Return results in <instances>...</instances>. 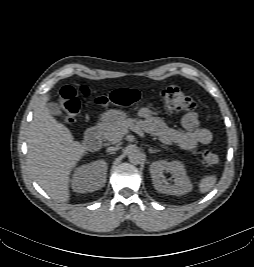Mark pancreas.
I'll use <instances>...</instances> for the list:
<instances>
[{
    "instance_id": "cf45deb5",
    "label": "pancreas",
    "mask_w": 254,
    "mask_h": 267,
    "mask_svg": "<svg viewBox=\"0 0 254 267\" xmlns=\"http://www.w3.org/2000/svg\"><path fill=\"white\" fill-rule=\"evenodd\" d=\"M135 120L128 118L122 121H115L109 125H106L102 129V136L104 139L116 143L122 136L128 132V129L135 126Z\"/></svg>"
}]
</instances>
